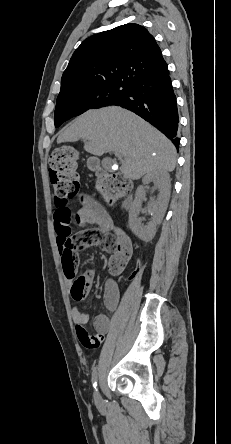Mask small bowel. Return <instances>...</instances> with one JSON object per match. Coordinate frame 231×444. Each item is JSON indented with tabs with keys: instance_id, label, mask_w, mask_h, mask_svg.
Segmentation results:
<instances>
[{
	"instance_id": "1",
	"label": "small bowel",
	"mask_w": 231,
	"mask_h": 444,
	"mask_svg": "<svg viewBox=\"0 0 231 444\" xmlns=\"http://www.w3.org/2000/svg\"><path fill=\"white\" fill-rule=\"evenodd\" d=\"M76 223L82 229L78 233L72 232V225ZM95 224L93 229L86 228ZM54 225L59 251L62 257L64 274L68 281L75 277L76 269L64 266L63 256L69 251L77 254L78 251L91 246H98L107 252L124 251L128 258L132 253L129 237L116 228L113 220L105 210L91 198L82 201L80 211L73 216L66 200H55ZM120 302V291L114 280L106 282L104 291V304L110 313H114ZM72 318L75 322V331L80 343L87 348L98 347L104 335L112 327V318L106 314H98L94 318L95 333L91 334L86 325L89 320L87 313L78 307H73Z\"/></svg>"
}]
</instances>
